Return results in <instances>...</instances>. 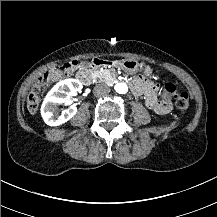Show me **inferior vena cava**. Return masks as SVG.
Masks as SVG:
<instances>
[{
  "mask_svg": "<svg viewBox=\"0 0 217 217\" xmlns=\"http://www.w3.org/2000/svg\"><path fill=\"white\" fill-rule=\"evenodd\" d=\"M109 92H110V88L106 84H98L94 87V94L96 96L106 95Z\"/></svg>",
  "mask_w": 217,
  "mask_h": 217,
  "instance_id": "inferior-vena-cava-1",
  "label": "inferior vena cava"
}]
</instances>
